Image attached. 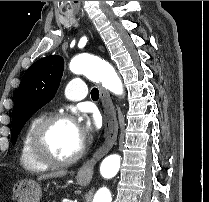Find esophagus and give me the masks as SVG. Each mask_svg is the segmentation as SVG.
Here are the masks:
<instances>
[{"instance_id": "obj_1", "label": "esophagus", "mask_w": 209, "mask_h": 202, "mask_svg": "<svg viewBox=\"0 0 209 202\" xmlns=\"http://www.w3.org/2000/svg\"><path fill=\"white\" fill-rule=\"evenodd\" d=\"M100 98L105 108L104 113V141L102 145L95 151L93 156L87 160L77 172V177L82 182H89L93 176V170L98 161L110 151L117 140L118 121L116 112L107 90L100 87Z\"/></svg>"}]
</instances>
